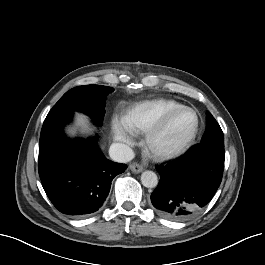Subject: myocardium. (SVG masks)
Wrapping results in <instances>:
<instances>
[{
	"label": "myocardium",
	"instance_id": "myocardium-1",
	"mask_svg": "<svg viewBox=\"0 0 265 265\" xmlns=\"http://www.w3.org/2000/svg\"><path fill=\"white\" fill-rule=\"evenodd\" d=\"M183 111H190L195 116V125L190 135L182 142L175 145L161 146L159 138L172 117ZM200 127V119L195 109L189 106H180L165 112L145 133L144 147L157 160H167L186 152L194 143Z\"/></svg>",
	"mask_w": 265,
	"mask_h": 265
}]
</instances>
